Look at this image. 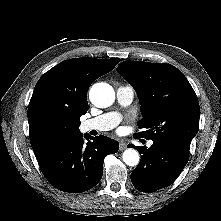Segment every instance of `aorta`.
<instances>
[{"instance_id":"obj_1","label":"aorta","mask_w":221,"mask_h":221,"mask_svg":"<svg viewBox=\"0 0 221 221\" xmlns=\"http://www.w3.org/2000/svg\"><path fill=\"white\" fill-rule=\"evenodd\" d=\"M115 93L107 83H96L89 91V99L96 107L105 108L114 102ZM123 161L128 166H136L140 161V156L137 150L128 148L123 152Z\"/></svg>"}]
</instances>
